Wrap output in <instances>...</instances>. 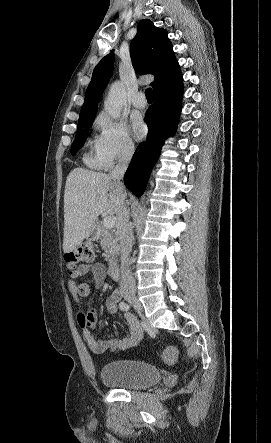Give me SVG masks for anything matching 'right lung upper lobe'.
Segmentation results:
<instances>
[{"instance_id": "cb5924a9", "label": "right lung upper lobe", "mask_w": 271, "mask_h": 443, "mask_svg": "<svg viewBox=\"0 0 271 443\" xmlns=\"http://www.w3.org/2000/svg\"><path fill=\"white\" fill-rule=\"evenodd\" d=\"M130 55L137 73L154 75L153 92L182 78L167 31L155 27L148 19L139 22L130 45ZM113 63L114 53L111 52L94 68L79 119L96 115L98 101L112 75Z\"/></svg>"}]
</instances>
